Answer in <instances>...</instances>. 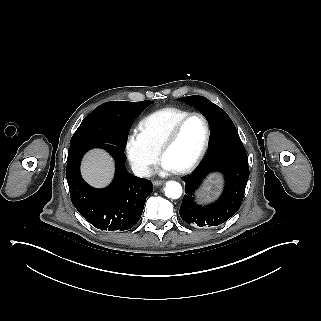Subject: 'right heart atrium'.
I'll use <instances>...</instances> for the list:
<instances>
[{
	"instance_id": "obj_1",
	"label": "right heart atrium",
	"mask_w": 321,
	"mask_h": 321,
	"mask_svg": "<svg viewBox=\"0 0 321 321\" xmlns=\"http://www.w3.org/2000/svg\"><path fill=\"white\" fill-rule=\"evenodd\" d=\"M126 156L134 173L142 178L151 175L159 153L138 130H133L126 140Z\"/></svg>"
}]
</instances>
